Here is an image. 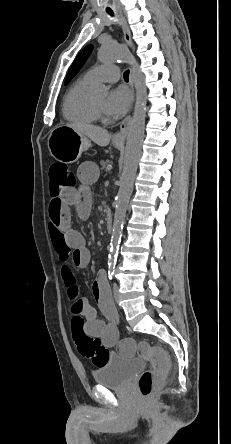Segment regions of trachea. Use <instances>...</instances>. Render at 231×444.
I'll use <instances>...</instances> for the list:
<instances>
[{
	"label": "trachea",
	"instance_id": "1",
	"mask_svg": "<svg viewBox=\"0 0 231 444\" xmlns=\"http://www.w3.org/2000/svg\"><path fill=\"white\" fill-rule=\"evenodd\" d=\"M107 13H108L109 15L113 16V11L108 10ZM123 77H124V80L128 81V79H129V70H127V71L124 72Z\"/></svg>",
	"mask_w": 231,
	"mask_h": 444
}]
</instances>
